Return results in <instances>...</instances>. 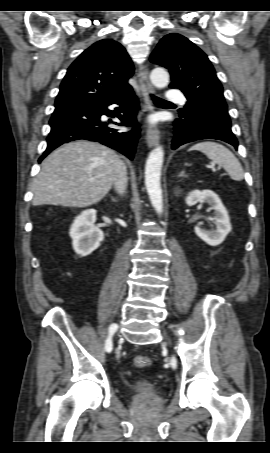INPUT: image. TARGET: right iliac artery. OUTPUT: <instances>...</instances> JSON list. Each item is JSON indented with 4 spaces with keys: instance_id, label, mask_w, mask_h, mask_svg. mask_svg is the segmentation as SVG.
<instances>
[{
    "instance_id": "obj_1",
    "label": "right iliac artery",
    "mask_w": 270,
    "mask_h": 453,
    "mask_svg": "<svg viewBox=\"0 0 270 453\" xmlns=\"http://www.w3.org/2000/svg\"><path fill=\"white\" fill-rule=\"evenodd\" d=\"M118 326L117 324H112L109 327V336L106 341V351L111 352L112 351V335L116 332Z\"/></svg>"
}]
</instances>
